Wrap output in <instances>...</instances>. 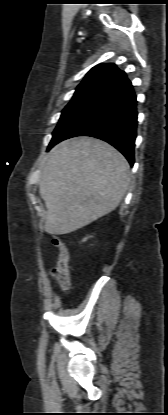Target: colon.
I'll return each mask as SVG.
<instances>
[{
    "instance_id": "1",
    "label": "colon",
    "mask_w": 168,
    "mask_h": 415,
    "mask_svg": "<svg viewBox=\"0 0 168 415\" xmlns=\"http://www.w3.org/2000/svg\"><path fill=\"white\" fill-rule=\"evenodd\" d=\"M53 244L58 251V260L56 266L52 269L51 274L62 290H67L70 286L69 256L67 249L58 236L53 238Z\"/></svg>"
}]
</instances>
